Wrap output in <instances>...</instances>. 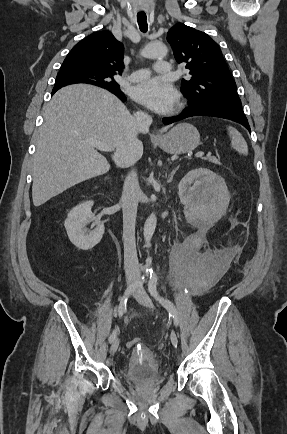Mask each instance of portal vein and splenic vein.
I'll use <instances>...</instances> for the list:
<instances>
[{"mask_svg": "<svg viewBox=\"0 0 287 434\" xmlns=\"http://www.w3.org/2000/svg\"><path fill=\"white\" fill-rule=\"evenodd\" d=\"M91 143L100 151L102 152H111L113 151V148L111 145L102 143V142H98V141H91ZM196 157H203L204 156V152H198L195 154Z\"/></svg>", "mask_w": 287, "mask_h": 434, "instance_id": "18ae733b", "label": "portal vein and splenic vein"}]
</instances>
